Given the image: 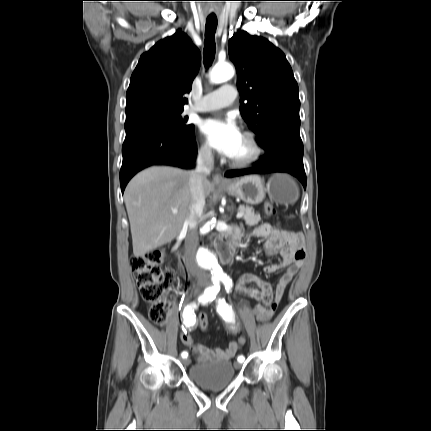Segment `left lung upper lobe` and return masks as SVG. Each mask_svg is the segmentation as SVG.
Instances as JSON below:
<instances>
[{"label": "left lung upper lobe", "instance_id": "1", "mask_svg": "<svg viewBox=\"0 0 431 431\" xmlns=\"http://www.w3.org/2000/svg\"><path fill=\"white\" fill-rule=\"evenodd\" d=\"M237 70L240 112L263 148L279 138L302 142L299 89L284 53L263 37L245 31L228 42Z\"/></svg>", "mask_w": 431, "mask_h": 431}]
</instances>
